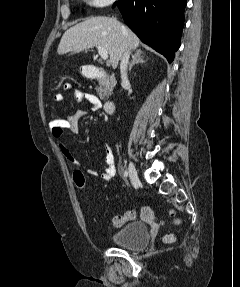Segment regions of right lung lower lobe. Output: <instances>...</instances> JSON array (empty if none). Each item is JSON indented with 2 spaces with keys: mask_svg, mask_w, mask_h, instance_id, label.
I'll list each match as a JSON object with an SVG mask.
<instances>
[{
  "mask_svg": "<svg viewBox=\"0 0 240 287\" xmlns=\"http://www.w3.org/2000/svg\"><path fill=\"white\" fill-rule=\"evenodd\" d=\"M115 5L142 42L173 61L180 47L186 0H120Z\"/></svg>",
  "mask_w": 240,
  "mask_h": 287,
  "instance_id": "98d812e1",
  "label": "right lung lower lobe"
}]
</instances>
